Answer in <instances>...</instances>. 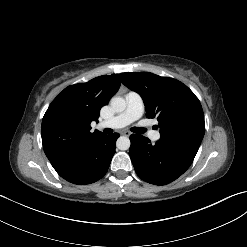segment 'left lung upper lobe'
<instances>
[{
	"mask_svg": "<svg viewBox=\"0 0 247 247\" xmlns=\"http://www.w3.org/2000/svg\"><path fill=\"white\" fill-rule=\"evenodd\" d=\"M122 83L139 93L148 118L156 117L160 141L195 156L205 133L199 99L180 81L148 72L121 73Z\"/></svg>",
	"mask_w": 247,
	"mask_h": 247,
	"instance_id": "1",
	"label": "left lung upper lobe"
}]
</instances>
